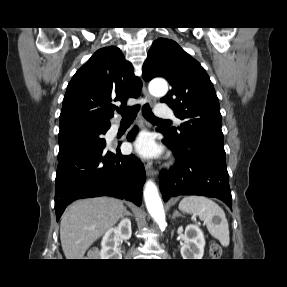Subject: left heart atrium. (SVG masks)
Here are the masks:
<instances>
[{"label":"left heart atrium","mask_w":287,"mask_h":287,"mask_svg":"<svg viewBox=\"0 0 287 287\" xmlns=\"http://www.w3.org/2000/svg\"><path fill=\"white\" fill-rule=\"evenodd\" d=\"M133 147L142 157H155L160 153V148L149 133L140 134L134 141Z\"/></svg>","instance_id":"1"}]
</instances>
